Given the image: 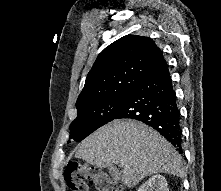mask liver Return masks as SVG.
Returning <instances> with one entry per match:
<instances>
[{"mask_svg": "<svg viewBox=\"0 0 221 191\" xmlns=\"http://www.w3.org/2000/svg\"><path fill=\"white\" fill-rule=\"evenodd\" d=\"M75 157L94 166L118 165L128 187L152 174L183 176L175 148L151 127L131 119L114 120L96 130L78 145Z\"/></svg>", "mask_w": 221, "mask_h": 191, "instance_id": "liver-1", "label": "liver"}]
</instances>
